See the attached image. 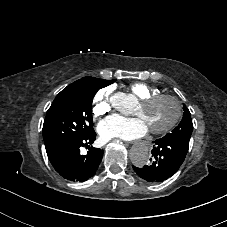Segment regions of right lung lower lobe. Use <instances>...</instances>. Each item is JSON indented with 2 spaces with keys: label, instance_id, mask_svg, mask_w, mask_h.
I'll return each instance as SVG.
<instances>
[{
  "label": "right lung lower lobe",
  "instance_id": "98d812e1",
  "mask_svg": "<svg viewBox=\"0 0 227 227\" xmlns=\"http://www.w3.org/2000/svg\"><path fill=\"white\" fill-rule=\"evenodd\" d=\"M96 138L94 130L81 137L70 138L46 149L55 170L71 181H86L93 176L101 163L104 150L90 147ZM88 148L87 154L80 153L81 147Z\"/></svg>",
  "mask_w": 227,
  "mask_h": 227
}]
</instances>
